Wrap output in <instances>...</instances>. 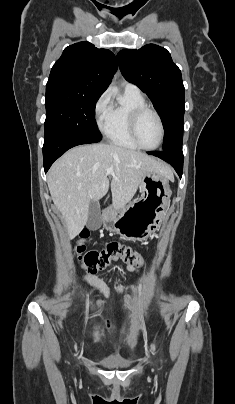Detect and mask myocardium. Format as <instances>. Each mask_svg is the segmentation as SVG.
<instances>
[{"label": "myocardium", "mask_w": 235, "mask_h": 404, "mask_svg": "<svg viewBox=\"0 0 235 404\" xmlns=\"http://www.w3.org/2000/svg\"><path fill=\"white\" fill-rule=\"evenodd\" d=\"M146 112H150L152 114L155 115V117L158 120L159 123V128H160V138L158 143L153 146V147H146L144 145L141 144V142L138 139V135H137V128H138V123L140 121V118L143 116V114H145ZM129 132H130V136L132 138V140L134 141V143L143 150H155L158 147H160V145L162 144L163 140H164V136H165V128H164V123L163 120L160 116V114L158 113L157 110H155L154 108L144 105L141 107H138L136 109L133 110V112L131 113L130 116V120H129Z\"/></svg>", "instance_id": "1"}]
</instances>
